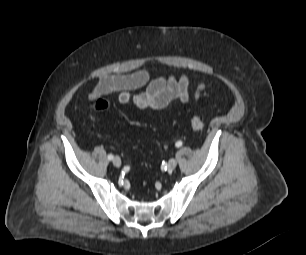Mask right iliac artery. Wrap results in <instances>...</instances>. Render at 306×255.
<instances>
[{"mask_svg":"<svg viewBox=\"0 0 306 255\" xmlns=\"http://www.w3.org/2000/svg\"><path fill=\"white\" fill-rule=\"evenodd\" d=\"M114 156L112 154L108 155V160H113Z\"/></svg>","mask_w":306,"mask_h":255,"instance_id":"82829eb1","label":"right iliac artery"}]
</instances>
